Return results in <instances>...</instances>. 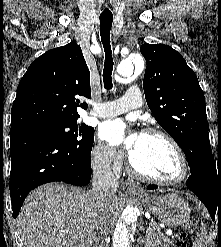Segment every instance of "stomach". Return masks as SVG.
I'll return each mask as SVG.
<instances>
[{"label":"stomach","instance_id":"stomach-1","mask_svg":"<svg viewBox=\"0 0 221 247\" xmlns=\"http://www.w3.org/2000/svg\"><path fill=\"white\" fill-rule=\"evenodd\" d=\"M135 198L168 227H178L190 216L191 209L188 202L175 193L161 196L139 194Z\"/></svg>","mask_w":221,"mask_h":247}]
</instances>
